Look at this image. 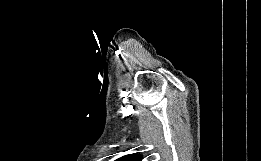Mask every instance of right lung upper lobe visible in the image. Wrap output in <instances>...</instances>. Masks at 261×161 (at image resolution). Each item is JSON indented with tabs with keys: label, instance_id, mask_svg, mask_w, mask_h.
I'll use <instances>...</instances> for the list:
<instances>
[{
	"label": "right lung upper lobe",
	"instance_id": "1",
	"mask_svg": "<svg viewBox=\"0 0 261 161\" xmlns=\"http://www.w3.org/2000/svg\"><path fill=\"white\" fill-rule=\"evenodd\" d=\"M141 158H142L141 155L131 154V155L123 156L117 159L116 161H141Z\"/></svg>",
	"mask_w": 261,
	"mask_h": 161
}]
</instances>
